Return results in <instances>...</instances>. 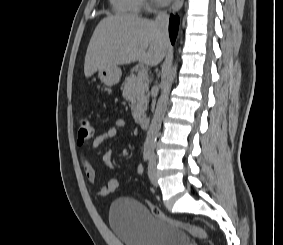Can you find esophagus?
<instances>
[{
    "label": "esophagus",
    "mask_w": 283,
    "mask_h": 245,
    "mask_svg": "<svg viewBox=\"0 0 283 245\" xmlns=\"http://www.w3.org/2000/svg\"><path fill=\"white\" fill-rule=\"evenodd\" d=\"M183 2H184V0H174L172 6L170 8V12L171 13L178 12L181 9V7H182Z\"/></svg>",
    "instance_id": "34e87169"
}]
</instances>
